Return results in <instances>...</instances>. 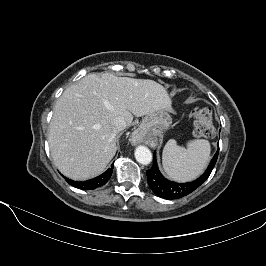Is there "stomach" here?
Listing matches in <instances>:
<instances>
[{
  "instance_id": "obj_1",
  "label": "stomach",
  "mask_w": 266,
  "mask_h": 266,
  "mask_svg": "<svg viewBox=\"0 0 266 266\" xmlns=\"http://www.w3.org/2000/svg\"><path fill=\"white\" fill-rule=\"evenodd\" d=\"M172 124L169 111L162 109L146 115L138 129L143 135H148L152 131L168 129Z\"/></svg>"
}]
</instances>
